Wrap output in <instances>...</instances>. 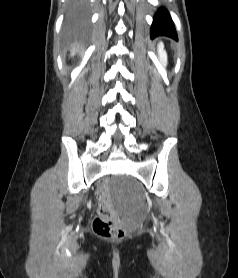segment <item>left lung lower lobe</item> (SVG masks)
I'll list each match as a JSON object with an SVG mask.
<instances>
[{
    "label": "left lung lower lobe",
    "mask_w": 238,
    "mask_h": 278,
    "mask_svg": "<svg viewBox=\"0 0 238 278\" xmlns=\"http://www.w3.org/2000/svg\"><path fill=\"white\" fill-rule=\"evenodd\" d=\"M150 33L152 38L159 35H164L177 40L175 27L168 12L165 9L161 8L159 9L158 13L155 14Z\"/></svg>",
    "instance_id": "left-lung-lower-lobe-1"
}]
</instances>
